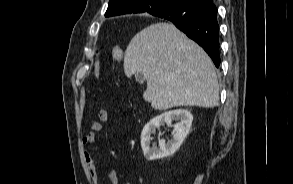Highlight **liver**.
I'll use <instances>...</instances> for the list:
<instances>
[{
  "mask_svg": "<svg viewBox=\"0 0 293 184\" xmlns=\"http://www.w3.org/2000/svg\"><path fill=\"white\" fill-rule=\"evenodd\" d=\"M124 72L128 78L143 73L147 80L143 98L156 110L218 105L212 60L172 24L155 23L137 33L125 51Z\"/></svg>",
  "mask_w": 293,
  "mask_h": 184,
  "instance_id": "obj_1",
  "label": "liver"
}]
</instances>
